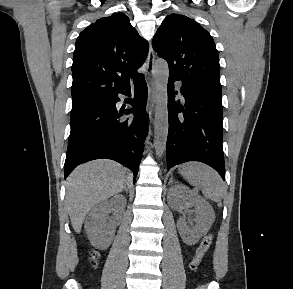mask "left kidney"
<instances>
[{
	"label": "left kidney",
	"instance_id": "1",
	"mask_svg": "<svg viewBox=\"0 0 293 289\" xmlns=\"http://www.w3.org/2000/svg\"><path fill=\"white\" fill-rule=\"evenodd\" d=\"M170 192L174 196L169 203L173 208L179 210L183 204L195 208V225L188 226L183 218L177 222V228L183 242L194 245L210 229L215 219L214 210L205 199L182 184L173 186Z\"/></svg>",
	"mask_w": 293,
	"mask_h": 289
}]
</instances>
